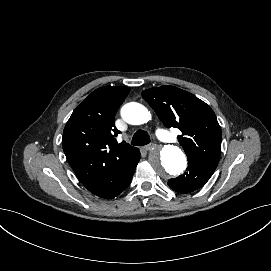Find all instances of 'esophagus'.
<instances>
[{
	"instance_id": "1",
	"label": "esophagus",
	"mask_w": 271,
	"mask_h": 271,
	"mask_svg": "<svg viewBox=\"0 0 271 271\" xmlns=\"http://www.w3.org/2000/svg\"><path fill=\"white\" fill-rule=\"evenodd\" d=\"M155 148H156V144H154V143L148 144V145H146V146L144 147V149L147 150V151H152V150H154Z\"/></svg>"
}]
</instances>
